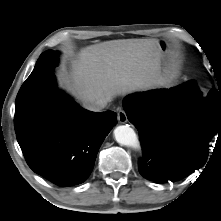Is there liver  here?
I'll return each mask as SVG.
<instances>
[{
    "mask_svg": "<svg viewBox=\"0 0 221 221\" xmlns=\"http://www.w3.org/2000/svg\"><path fill=\"white\" fill-rule=\"evenodd\" d=\"M158 43L122 39L87 46L71 61L65 87L83 104L154 88L161 81Z\"/></svg>",
    "mask_w": 221,
    "mask_h": 221,
    "instance_id": "obj_1",
    "label": "liver"
}]
</instances>
